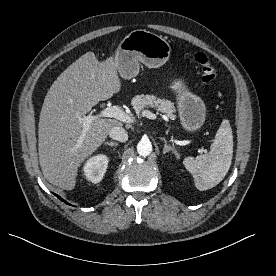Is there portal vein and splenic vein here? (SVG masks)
I'll use <instances>...</instances> for the list:
<instances>
[{
  "instance_id": "portal-vein-and-splenic-vein-1",
  "label": "portal vein and splenic vein",
  "mask_w": 276,
  "mask_h": 276,
  "mask_svg": "<svg viewBox=\"0 0 276 276\" xmlns=\"http://www.w3.org/2000/svg\"><path fill=\"white\" fill-rule=\"evenodd\" d=\"M142 115L146 116L149 119L157 118V116L155 114H153L152 112H150L148 110L143 111ZM103 117L115 118L122 122H133L132 118L128 114H126L120 107L109 106V107L104 108L99 114H97L95 116L89 115V116H84V117L80 118V121L84 125L83 132L85 133L89 129L93 120H95L97 118H103Z\"/></svg>"
}]
</instances>
